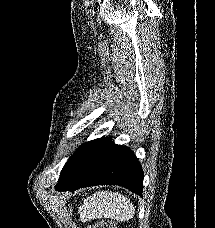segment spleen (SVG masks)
<instances>
[{
    "label": "spleen",
    "mask_w": 215,
    "mask_h": 228,
    "mask_svg": "<svg viewBox=\"0 0 215 228\" xmlns=\"http://www.w3.org/2000/svg\"><path fill=\"white\" fill-rule=\"evenodd\" d=\"M80 214L83 220L110 218L118 222H127L133 218L135 210L130 200L118 192H96L85 200Z\"/></svg>",
    "instance_id": "1"
}]
</instances>
